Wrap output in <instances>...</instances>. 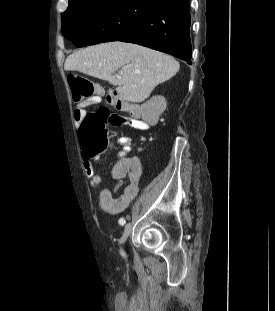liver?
I'll return each instance as SVG.
<instances>
[{
    "label": "liver",
    "mask_w": 275,
    "mask_h": 311,
    "mask_svg": "<svg viewBox=\"0 0 275 311\" xmlns=\"http://www.w3.org/2000/svg\"><path fill=\"white\" fill-rule=\"evenodd\" d=\"M171 56L141 45L109 42L90 46L66 58V71H79L117 86L123 100L140 103L179 71ZM118 71L121 78L113 75Z\"/></svg>",
    "instance_id": "6515ba94"
}]
</instances>
